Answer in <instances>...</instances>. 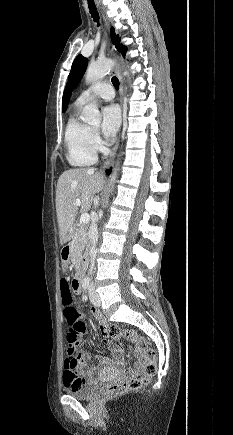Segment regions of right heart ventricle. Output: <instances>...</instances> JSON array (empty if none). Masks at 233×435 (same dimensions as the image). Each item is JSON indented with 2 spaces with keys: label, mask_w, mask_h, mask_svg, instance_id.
Here are the masks:
<instances>
[{
  "label": "right heart ventricle",
  "mask_w": 233,
  "mask_h": 435,
  "mask_svg": "<svg viewBox=\"0 0 233 435\" xmlns=\"http://www.w3.org/2000/svg\"><path fill=\"white\" fill-rule=\"evenodd\" d=\"M64 140L67 147V160L72 166L85 167L96 162L91 129L80 120L77 112H73L68 119Z\"/></svg>",
  "instance_id": "obj_1"
}]
</instances>
